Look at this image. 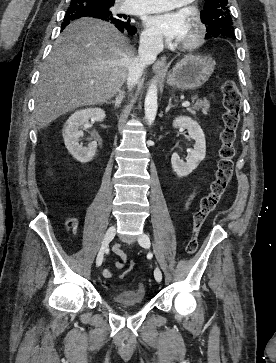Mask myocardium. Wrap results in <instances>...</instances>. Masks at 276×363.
Returning a JSON list of instances; mask_svg holds the SVG:
<instances>
[{
  "label": "myocardium",
  "instance_id": "obj_1",
  "mask_svg": "<svg viewBox=\"0 0 276 363\" xmlns=\"http://www.w3.org/2000/svg\"><path fill=\"white\" fill-rule=\"evenodd\" d=\"M192 36L180 43L179 47L183 50H194L198 48L205 38V26L196 14L191 16Z\"/></svg>",
  "mask_w": 276,
  "mask_h": 363
}]
</instances>
